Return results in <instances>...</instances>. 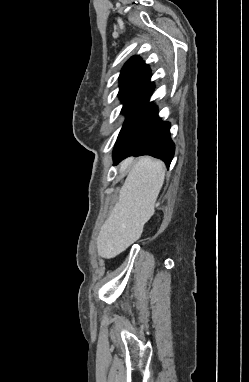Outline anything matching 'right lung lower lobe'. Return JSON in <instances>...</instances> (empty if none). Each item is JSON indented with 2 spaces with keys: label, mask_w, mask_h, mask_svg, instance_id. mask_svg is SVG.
I'll use <instances>...</instances> for the list:
<instances>
[{
  "label": "right lung lower lobe",
  "mask_w": 249,
  "mask_h": 382,
  "mask_svg": "<svg viewBox=\"0 0 249 382\" xmlns=\"http://www.w3.org/2000/svg\"><path fill=\"white\" fill-rule=\"evenodd\" d=\"M174 150L170 123L161 121L157 106H151L139 121L118 138L113 158L116 164L128 156L150 155L162 159L169 166Z\"/></svg>",
  "instance_id": "1"
}]
</instances>
